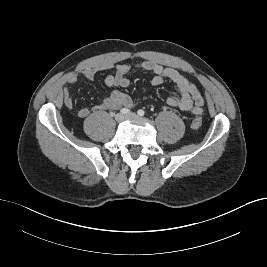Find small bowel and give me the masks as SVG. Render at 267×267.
Instances as JSON below:
<instances>
[{
  "mask_svg": "<svg viewBox=\"0 0 267 267\" xmlns=\"http://www.w3.org/2000/svg\"><path fill=\"white\" fill-rule=\"evenodd\" d=\"M130 64H106L100 67H90L82 71L84 78L93 80L96 74L103 70H111L112 73L105 78V84L108 88L113 89L110 94L105 97L102 103L95 105L92 109L82 107L78 110L80 118H86L91 112H99L105 110H115L121 107H132L131 98L116 88H126L130 81L127 74L132 70ZM135 68L150 72L153 74L151 84L158 86L165 80L174 82L179 90V95H171L166 99V105L172 108L180 109L184 112L200 115L203 113L204 100L197 87L181 72L176 69L163 67L153 61H143L135 65ZM78 80L76 74L70 75L66 82L67 86L63 90V104L67 109H72L74 103L70 93V86L74 85Z\"/></svg>",
  "mask_w": 267,
  "mask_h": 267,
  "instance_id": "c3829d8e",
  "label": "small bowel"
}]
</instances>
